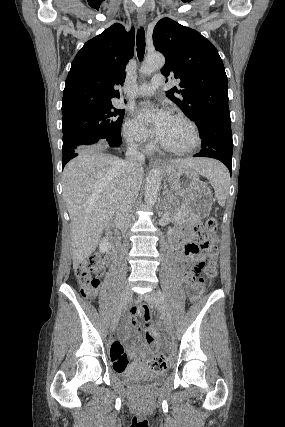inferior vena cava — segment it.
Returning a JSON list of instances; mask_svg holds the SVG:
<instances>
[{"instance_id": "obj_1", "label": "inferior vena cava", "mask_w": 285, "mask_h": 427, "mask_svg": "<svg viewBox=\"0 0 285 427\" xmlns=\"http://www.w3.org/2000/svg\"><path fill=\"white\" fill-rule=\"evenodd\" d=\"M145 156L137 149V145L129 142L126 151V161L124 163L123 184L120 192L116 218L121 226L122 232H125L129 223V212L135 198L138 196L140 186L137 184L136 175L142 171Z\"/></svg>"}]
</instances>
